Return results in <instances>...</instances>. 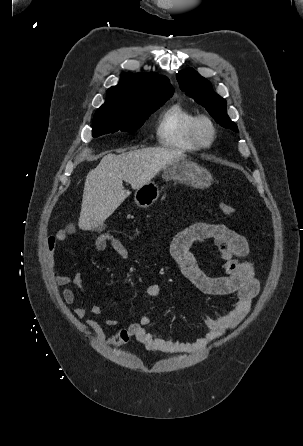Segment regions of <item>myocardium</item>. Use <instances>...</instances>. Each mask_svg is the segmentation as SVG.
<instances>
[{
	"label": "myocardium",
	"mask_w": 303,
	"mask_h": 446,
	"mask_svg": "<svg viewBox=\"0 0 303 446\" xmlns=\"http://www.w3.org/2000/svg\"><path fill=\"white\" fill-rule=\"evenodd\" d=\"M208 131V137L203 136V129ZM191 134L199 147L208 148L216 140L217 130L213 120L207 115L195 116L191 125Z\"/></svg>",
	"instance_id": "f54148a6"
}]
</instances>
